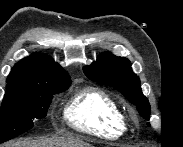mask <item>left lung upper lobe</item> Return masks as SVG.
<instances>
[{
	"label": "left lung upper lobe",
	"mask_w": 183,
	"mask_h": 147,
	"mask_svg": "<svg viewBox=\"0 0 183 147\" xmlns=\"http://www.w3.org/2000/svg\"><path fill=\"white\" fill-rule=\"evenodd\" d=\"M92 81L113 87L121 92L146 120L150 118V104L143 95L139 77L132 71L130 61L109 52L98 56L97 61L83 68ZM150 125L149 123H147Z\"/></svg>",
	"instance_id": "left-lung-upper-lobe-1"
}]
</instances>
